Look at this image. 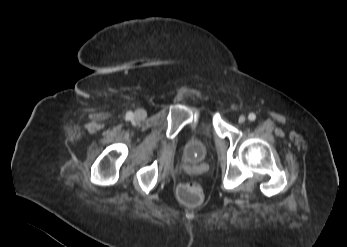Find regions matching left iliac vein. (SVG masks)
<instances>
[{
    "mask_svg": "<svg viewBox=\"0 0 347 247\" xmlns=\"http://www.w3.org/2000/svg\"><path fill=\"white\" fill-rule=\"evenodd\" d=\"M245 120H246L245 116L241 115V116L239 117V119H238V122H239L240 124H242V123L245 122Z\"/></svg>",
    "mask_w": 347,
    "mask_h": 247,
    "instance_id": "left-iliac-vein-1",
    "label": "left iliac vein"
}]
</instances>
